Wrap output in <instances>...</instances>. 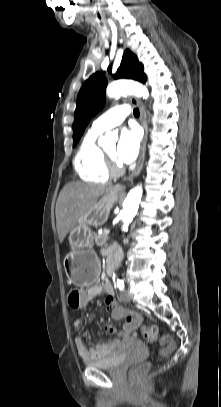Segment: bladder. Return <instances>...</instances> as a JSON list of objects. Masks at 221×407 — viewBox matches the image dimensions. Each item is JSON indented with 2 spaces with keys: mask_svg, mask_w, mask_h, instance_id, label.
<instances>
[{
  "mask_svg": "<svg viewBox=\"0 0 221 407\" xmlns=\"http://www.w3.org/2000/svg\"><path fill=\"white\" fill-rule=\"evenodd\" d=\"M125 361V356L119 352L114 355L100 359V360H89L85 364L89 367L103 369V370H118Z\"/></svg>",
  "mask_w": 221,
  "mask_h": 407,
  "instance_id": "obj_1",
  "label": "bladder"
}]
</instances>
